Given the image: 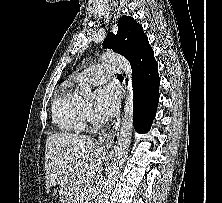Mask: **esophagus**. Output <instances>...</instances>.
Masks as SVG:
<instances>
[{"label":"esophagus","instance_id":"esophagus-1","mask_svg":"<svg viewBox=\"0 0 222 203\" xmlns=\"http://www.w3.org/2000/svg\"><path fill=\"white\" fill-rule=\"evenodd\" d=\"M120 115L108 124L99 134L98 142L104 147L110 148L113 144L114 131L118 126Z\"/></svg>","mask_w":222,"mask_h":203}]
</instances>
